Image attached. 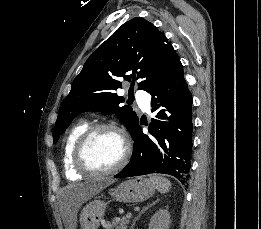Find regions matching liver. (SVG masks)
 I'll use <instances>...</instances> for the list:
<instances>
[{
  "label": "liver",
  "instance_id": "obj_1",
  "mask_svg": "<svg viewBox=\"0 0 261 229\" xmlns=\"http://www.w3.org/2000/svg\"><path fill=\"white\" fill-rule=\"evenodd\" d=\"M115 183V179H106V181H94V183H80V185H75L72 189L74 195L73 199L76 205H82L89 201L94 195H98L101 191H104L106 187ZM69 227H75V221L73 219V213H70Z\"/></svg>",
  "mask_w": 261,
  "mask_h": 229
}]
</instances>
